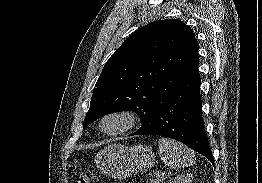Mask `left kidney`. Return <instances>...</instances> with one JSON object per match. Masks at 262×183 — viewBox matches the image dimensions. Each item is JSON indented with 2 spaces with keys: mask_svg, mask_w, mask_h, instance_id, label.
<instances>
[{
  "mask_svg": "<svg viewBox=\"0 0 262 183\" xmlns=\"http://www.w3.org/2000/svg\"><path fill=\"white\" fill-rule=\"evenodd\" d=\"M193 175L190 173L181 174L169 180L168 183H192Z\"/></svg>",
  "mask_w": 262,
  "mask_h": 183,
  "instance_id": "left-kidney-1",
  "label": "left kidney"
}]
</instances>
